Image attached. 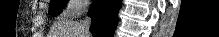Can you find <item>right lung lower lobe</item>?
Wrapping results in <instances>:
<instances>
[{
    "label": "right lung lower lobe",
    "instance_id": "98d812e1",
    "mask_svg": "<svg viewBox=\"0 0 219 37\" xmlns=\"http://www.w3.org/2000/svg\"><path fill=\"white\" fill-rule=\"evenodd\" d=\"M121 4L122 0H94L89 12L90 31L94 37H113Z\"/></svg>",
    "mask_w": 219,
    "mask_h": 37
}]
</instances>
